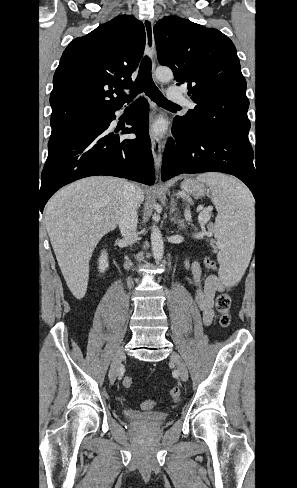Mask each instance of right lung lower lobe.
I'll list each match as a JSON object with an SVG mask.
<instances>
[{"label":"right lung lower lobe","instance_id":"obj_1","mask_svg":"<svg viewBox=\"0 0 297 488\" xmlns=\"http://www.w3.org/2000/svg\"><path fill=\"white\" fill-rule=\"evenodd\" d=\"M149 106L144 98L134 103L122 132L111 131L115 112L57 139L48 148L41 174L39 210L61 187L95 175L127 178L147 185L155 182L151 142L148 135ZM135 133V139L122 135Z\"/></svg>","mask_w":297,"mask_h":488}]
</instances>
